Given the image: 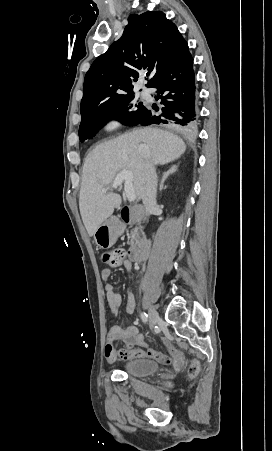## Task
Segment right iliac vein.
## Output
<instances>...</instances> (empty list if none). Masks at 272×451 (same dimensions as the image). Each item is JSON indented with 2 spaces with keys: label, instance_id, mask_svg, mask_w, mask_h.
Segmentation results:
<instances>
[{
  "label": "right iliac vein",
  "instance_id": "right-iliac-vein-1",
  "mask_svg": "<svg viewBox=\"0 0 272 451\" xmlns=\"http://www.w3.org/2000/svg\"><path fill=\"white\" fill-rule=\"evenodd\" d=\"M148 313H149L150 327L153 329L159 319V314L153 306L149 307Z\"/></svg>",
  "mask_w": 272,
  "mask_h": 451
}]
</instances>
